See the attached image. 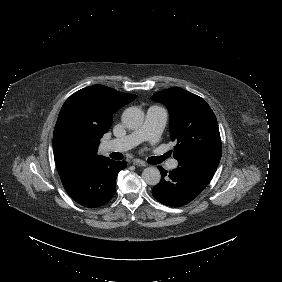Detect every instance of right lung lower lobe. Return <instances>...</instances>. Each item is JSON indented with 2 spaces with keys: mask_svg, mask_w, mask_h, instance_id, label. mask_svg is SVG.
<instances>
[{
  "mask_svg": "<svg viewBox=\"0 0 282 282\" xmlns=\"http://www.w3.org/2000/svg\"><path fill=\"white\" fill-rule=\"evenodd\" d=\"M126 162H117L107 157L86 161L59 174L67 193L79 204L99 207L115 194L116 177Z\"/></svg>",
  "mask_w": 282,
  "mask_h": 282,
  "instance_id": "1",
  "label": "right lung lower lobe"
}]
</instances>
